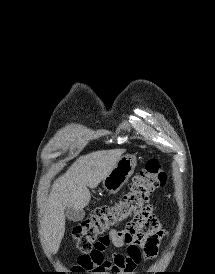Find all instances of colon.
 <instances>
[{"mask_svg": "<svg viewBox=\"0 0 215 274\" xmlns=\"http://www.w3.org/2000/svg\"><path fill=\"white\" fill-rule=\"evenodd\" d=\"M167 182V175L157 159H149L135 175L130 189L114 204L98 207L73 229L77 248L84 254L90 252L105 232L136 218L143 212L144 204L159 187Z\"/></svg>", "mask_w": 215, "mask_h": 274, "instance_id": "obj_1", "label": "colon"}]
</instances>
